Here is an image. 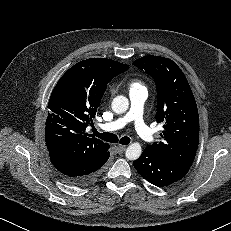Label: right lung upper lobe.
I'll return each mask as SVG.
<instances>
[{"instance_id":"right-lung-upper-lobe-1","label":"right lung upper lobe","mask_w":231,"mask_h":231,"mask_svg":"<svg viewBox=\"0 0 231 231\" xmlns=\"http://www.w3.org/2000/svg\"><path fill=\"white\" fill-rule=\"evenodd\" d=\"M128 65L106 58H92L72 66L58 81L48 103L45 127L49 155L72 162L103 156L109 144L86 133L95 117L107 84ZM67 84L65 91L60 90Z\"/></svg>"}]
</instances>
